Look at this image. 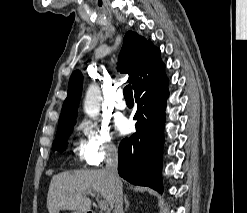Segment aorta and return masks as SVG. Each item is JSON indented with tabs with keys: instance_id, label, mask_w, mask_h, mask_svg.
I'll use <instances>...</instances> for the list:
<instances>
[{
	"instance_id": "762f6f07",
	"label": "aorta",
	"mask_w": 247,
	"mask_h": 213,
	"mask_svg": "<svg viewBox=\"0 0 247 213\" xmlns=\"http://www.w3.org/2000/svg\"><path fill=\"white\" fill-rule=\"evenodd\" d=\"M101 100L102 95L99 87L96 84H91L84 101V111L89 117L95 118L98 115Z\"/></svg>"
}]
</instances>
